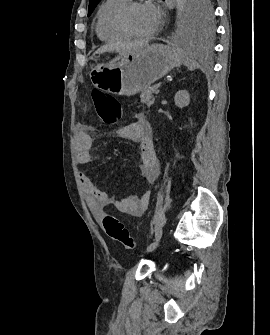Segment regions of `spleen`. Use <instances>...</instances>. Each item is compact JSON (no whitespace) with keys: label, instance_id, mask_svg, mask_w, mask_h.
<instances>
[{"label":"spleen","instance_id":"spleen-1","mask_svg":"<svg viewBox=\"0 0 270 335\" xmlns=\"http://www.w3.org/2000/svg\"><path fill=\"white\" fill-rule=\"evenodd\" d=\"M188 56H189L188 52H184L183 58L185 60L186 66H189V68H197L198 66L197 62H195V60H189Z\"/></svg>","mask_w":270,"mask_h":335}]
</instances>
